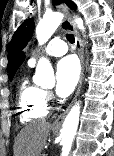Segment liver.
Masks as SVG:
<instances>
[{
    "label": "liver",
    "instance_id": "liver-1",
    "mask_svg": "<svg viewBox=\"0 0 114 156\" xmlns=\"http://www.w3.org/2000/svg\"><path fill=\"white\" fill-rule=\"evenodd\" d=\"M51 127L47 121H33L26 125L16 137L14 156H40Z\"/></svg>",
    "mask_w": 114,
    "mask_h": 156
}]
</instances>
